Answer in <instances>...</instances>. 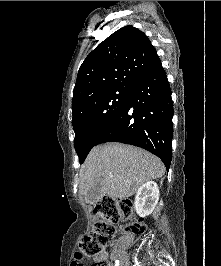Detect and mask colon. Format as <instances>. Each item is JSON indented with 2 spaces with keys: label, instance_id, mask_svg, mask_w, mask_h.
<instances>
[{
  "label": "colon",
  "instance_id": "obj_1",
  "mask_svg": "<svg viewBox=\"0 0 221 266\" xmlns=\"http://www.w3.org/2000/svg\"><path fill=\"white\" fill-rule=\"evenodd\" d=\"M134 203L131 200L116 201L112 198H103L98 201L94 208L96 221L92 230L83 235L79 242V252L83 257L96 258L102 252L113 236L120 230L118 222L127 221L123 230L129 234H142L146 225L142 219H133ZM80 257V258H83ZM92 266H106L104 261L97 260Z\"/></svg>",
  "mask_w": 221,
  "mask_h": 266
}]
</instances>
